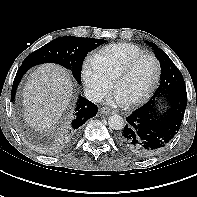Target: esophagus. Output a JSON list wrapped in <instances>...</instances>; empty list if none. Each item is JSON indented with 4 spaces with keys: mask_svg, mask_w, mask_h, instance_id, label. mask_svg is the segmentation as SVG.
<instances>
[{
    "mask_svg": "<svg viewBox=\"0 0 197 197\" xmlns=\"http://www.w3.org/2000/svg\"><path fill=\"white\" fill-rule=\"evenodd\" d=\"M100 113H101L102 115L107 116V115L112 114V113H113V110L110 109V108H108V107H102V108H100Z\"/></svg>",
    "mask_w": 197,
    "mask_h": 197,
    "instance_id": "esophagus-1",
    "label": "esophagus"
}]
</instances>
